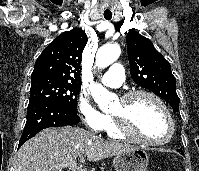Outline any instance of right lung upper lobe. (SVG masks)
<instances>
[{"mask_svg":"<svg viewBox=\"0 0 199 171\" xmlns=\"http://www.w3.org/2000/svg\"><path fill=\"white\" fill-rule=\"evenodd\" d=\"M87 40L80 28L60 34L36 60L31 78H53L81 84L79 69Z\"/></svg>","mask_w":199,"mask_h":171,"instance_id":"1","label":"right lung upper lobe"}]
</instances>
